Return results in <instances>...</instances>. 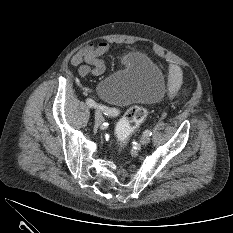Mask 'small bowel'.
<instances>
[{"mask_svg":"<svg viewBox=\"0 0 233 233\" xmlns=\"http://www.w3.org/2000/svg\"><path fill=\"white\" fill-rule=\"evenodd\" d=\"M109 50V44L99 42L87 45L77 51L71 58V64L78 67L79 75L85 79L89 75L100 76L106 70L102 56ZM182 70L176 64H170L168 68V94L175 96L182 84Z\"/></svg>","mask_w":233,"mask_h":233,"instance_id":"1","label":"small bowel"}]
</instances>
